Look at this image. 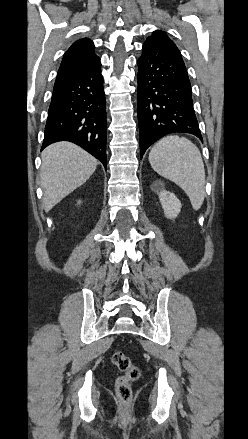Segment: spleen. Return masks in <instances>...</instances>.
Returning <instances> with one entry per match:
<instances>
[{
  "mask_svg": "<svg viewBox=\"0 0 248 439\" xmlns=\"http://www.w3.org/2000/svg\"><path fill=\"white\" fill-rule=\"evenodd\" d=\"M151 167L182 188L194 210L205 197V169L198 147L185 137L170 135L159 140L149 153Z\"/></svg>",
  "mask_w": 248,
  "mask_h": 439,
  "instance_id": "3e777b00",
  "label": "spleen"
}]
</instances>
